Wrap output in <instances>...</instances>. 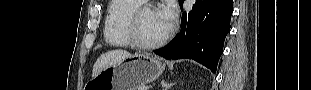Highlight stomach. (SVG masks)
<instances>
[{
	"label": "stomach",
	"instance_id": "stomach-1",
	"mask_svg": "<svg viewBox=\"0 0 311 90\" xmlns=\"http://www.w3.org/2000/svg\"><path fill=\"white\" fill-rule=\"evenodd\" d=\"M165 70V64L156 56L136 54L116 66L102 70L85 86L86 90H139L155 81Z\"/></svg>",
	"mask_w": 311,
	"mask_h": 90
}]
</instances>
